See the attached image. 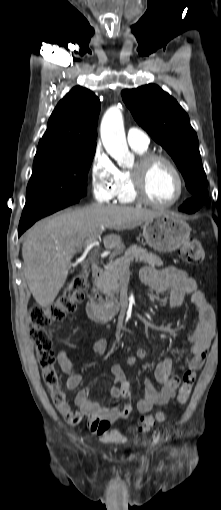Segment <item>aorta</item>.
Returning <instances> with one entry per match:
<instances>
[{"instance_id":"aorta-1","label":"aorta","mask_w":221,"mask_h":510,"mask_svg":"<svg viewBox=\"0 0 221 510\" xmlns=\"http://www.w3.org/2000/svg\"><path fill=\"white\" fill-rule=\"evenodd\" d=\"M100 136L105 150L119 165L130 166L133 163V156L126 142L123 116L118 107H111L104 114Z\"/></svg>"}]
</instances>
